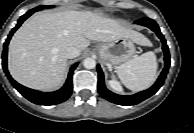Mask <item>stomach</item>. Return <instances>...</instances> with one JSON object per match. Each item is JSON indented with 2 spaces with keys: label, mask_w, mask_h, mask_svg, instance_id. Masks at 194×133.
I'll list each match as a JSON object with an SVG mask.
<instances>
[{
  "label": "stomach",
  "mask_w": 194,
  "mask_h": 133,
  "mask_svg": "<svg viewBox=\"0 0 194 133\" xmlns=\"http://www.w3.org/2000/svg\"><path fill=\"white\" fill-rule=\"evenodd\" d=\"M100 57L108 66H116L131 59L135 46L130 38L122 37L111 42L97 45Z\"/></svg>",
  "instance_id": "1"
}]
</instances>
